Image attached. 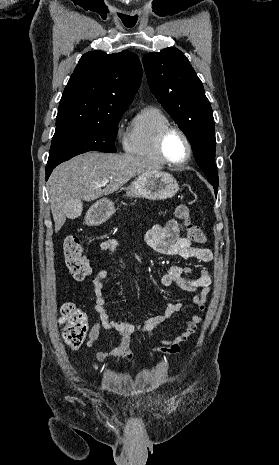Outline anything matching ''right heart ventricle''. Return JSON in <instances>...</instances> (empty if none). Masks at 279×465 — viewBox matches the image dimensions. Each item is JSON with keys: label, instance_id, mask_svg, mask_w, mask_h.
<instances>
[{"label": "right heart ventricle", "instance_id": "right-heart-ventricle-1", "mask_svg": "<svg viewBox=\"0 0 279 465\" xmlns=\"http://www.w3.org/2000/svg\"><path fill=\"white\" fill-rule=\"evenodd\" d=\"M169 125L171 121L161 108L148 106L141 109L130 123L124 140L125 151L145 160L164 164L157 150V138L159 133Z\"/></svg>", "mask_w": 279, "mask_h": 465}]
</instances>
